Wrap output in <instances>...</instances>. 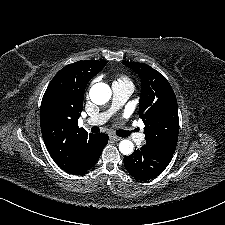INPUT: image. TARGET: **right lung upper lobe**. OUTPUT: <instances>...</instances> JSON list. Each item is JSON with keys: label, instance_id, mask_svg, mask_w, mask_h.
<instances>
[{"label": "right lung upper lobe", "instance_id": "1", "mask_svg": "<svg viewBox=\"0 0 225 225\" xmlns=\"http://www.w3.org/2000/svg\"><path fill=\"white\" fill-rule=\"evenodd\" d=\"M106 61L85 60L63 67L49 83L41 102L40 124L46 148L55 163L73 174L83 165L95 134L78 127L88 81Z\"/></svg>", "mask_w": 225, "mask_h": 225}]
</instances>
